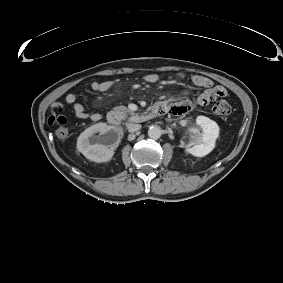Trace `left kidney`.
<instances>
[{
	"instance_id": "5707ae66",
	"label": "left kidney",
	"mask_w": 283,
	"mask_h": 283,
	"mask_svg": "<svg viewBox=\"0 0 283 283\" xmlns=\"http://www.w3.org/2000/svg\"><path fill=\"white\" fill-rule=\"evenodd\" d=\"M196 124L202 129V132L192 133L185 152L196 157H204L215 148L216 139L219 136V126L206 116H198Z\"/></svg>"
}]
</instances>
